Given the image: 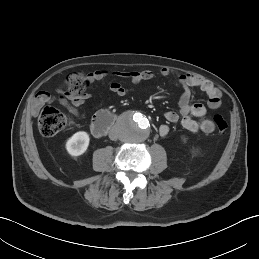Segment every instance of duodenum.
<instances>
[{"instance_id": "obj_1", "label": "duodenum", "mask_w": 259, "mask_h": 259, "mask_svg": "<svg viewBox=\"0 0 259 259\" xmlns=\"http://www.w3.org/2000/svg\"><path fill=\"white\" fill-rule=\"evenodd\" d=\"M114 121L115 116L112 113L99 112L91 123V131L95 136L100 137L112 128Z\"/></svg>"}]
</instances>
